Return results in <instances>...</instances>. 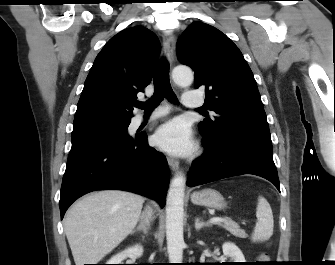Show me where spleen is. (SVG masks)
<instances>
[{
    "label": "spleen",
    "instance_id": "3e777b00",
    "mask_svg": "<svg viewBox=\"0 0 335 265\" xmlns=\"http://www.w3.org/2000/svg\"><path fill=\"white\" fill-rule=\"evenodd\" d=\"M257 222L251 236L253 242L268 240L273 234L274 220L270 204L260 196L256 210Z\"/></svg>",
    "mask_w": 335,
    "mask_h": 265
}]
</instances>
